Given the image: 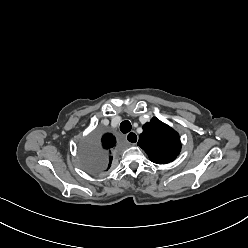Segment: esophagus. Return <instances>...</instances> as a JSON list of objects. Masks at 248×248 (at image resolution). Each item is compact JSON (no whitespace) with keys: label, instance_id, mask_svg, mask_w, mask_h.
Returning a JSON list of instances; mask_svg holds the SVG:
<instances>
[{"label":"esophagus","instance_id":"1","mask_svg":"<svg viewBox=\"0 0 248 248\" xmlns=\"http://www.w3.org/2000/svg\"><path fill=\"white\" fill-rule=\"evenodd\" d=\"M126 140L129 144L135 145L138 142V135L132 131L126 135Z\"/></svg>","mask_w":248,"mask_h":248}]
</instances>
